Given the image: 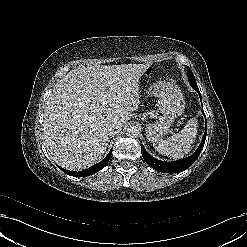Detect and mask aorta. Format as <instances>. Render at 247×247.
<instances>
[{"label":"aorta","instance_id":"1","mask_svg":"<svg viewBox=\"0 0 247 247\" xmlns=\"http://www.w3.org/2000/svg\"><path fill=\"white\" fill-rule=\"evenodd\" d=\"M126 135L132 138H136L139 135V129L136 126H129L126 129Z\"/></svg>","mask_w":247,"mask_h":247}]
</instances>
